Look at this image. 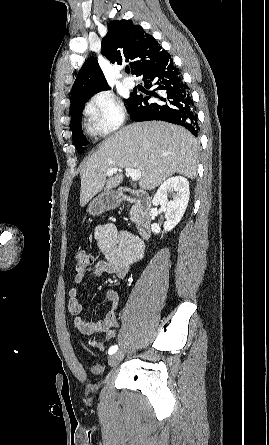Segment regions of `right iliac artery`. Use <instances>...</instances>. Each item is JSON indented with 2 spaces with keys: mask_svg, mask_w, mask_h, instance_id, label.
<instances>
[{
  "mask_svg": "<svg viewBox=\"0 0 269 445\" xmlns=\"http://www.w3.org/2000/svg\"><path fill=\"white\" fill-rule=\"evenodd\" d=\"M117 350H118V346H117V345H114V346H112V347L109 348V350H108V354L111 355V354L115 353Z\"/></svg>",
  "mask_w": 269,
  "mask_h": 445,
  "instance_id": "obj_1",
  "label": "right iliac artery"
}]
</instances>
